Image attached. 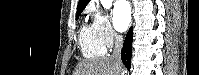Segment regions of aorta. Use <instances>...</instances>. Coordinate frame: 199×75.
<instances>
[{"instance_id": "obj_1", "label": "aorta", "mask_w": 199, "mask_h": 75, "mask_svg": "<svg viewBox=\"0 0 199 75\" xmlns=\"http://www.w3.org/2000/svg\"><path fill=\"white\" fill-rule=\"evenodd\" d=\"M113 0H101V4L105 9H109L112 6Z\"/></svg>"}]
</instances>
